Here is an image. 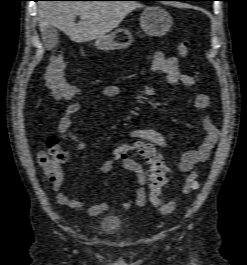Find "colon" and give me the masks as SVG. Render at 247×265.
<instances>
[{
    "mask_svg": "<svg viewBox=\"0 0 247 265\" xmlns=\"http://www.w3.org/2000/svg\"><path fill=\"white\" fill-rule=\"evenodd\" d=\"M190 46L189 40L179 42L177 46L178 54L181 57H187L190 53ZM64 70V53L61 49H55L52 52L50 63L45 74L46 86L55 99H76L80 96V89L66 81ZM130 152L138 155L148 166L149 199L152 205L157 207L162 214L167 215L172 213L180 198L188 196L192 191L199 188L197 173L192 172L186 177L178 195L174 199L163 203L161 200V191L167 182V174L169 173V168L163 156L154 145L145 142H136L133 145H118L113 149L112 155L115 159H126ZM41 154L45 165L49 168H56L61 165L62 156L60 154H51L47 151H43Z\"/></svg>",
    "mask_w": 247,
    "mask_h": 265,
    "instance_id": "obj_1",
    "label": "colon"
}]
</instances>
